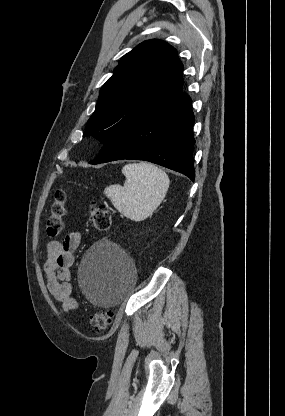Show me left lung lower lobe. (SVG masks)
<instances>
[{"instance_id":"1","label":"left lung lower lobe","mask_w":285,"mask_h":416,"mask_svg":"<svg viewBox=\"0 0 285 416\" xmlns=\"http://www.w3.org/2000/svg\"><path fill=\"white\" fill-rule=\"evenodd\" d=\"M191 99L181 93L171 102L122 128L90 164L134 159L153 162L195 178L192 156L194 116Z\"/></svg>"}]
</instances>
